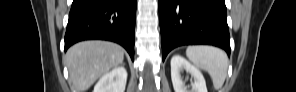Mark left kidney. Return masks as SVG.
<instances>
[{
  "label": "left kidney",
  "instance_id": "left-kidney-1",
  "mask_svg": "<svg viewBox=\"0 0 296 92\" xmlns=\"http://www.w3.org/2000/svg\"><path fill=\"white\" fill-rule=\"evenodd\" d=\"M184 70L194 79L191 90H188L181 78V72ZM171 79L175 92H207L202 73L180 55H173L171 58Z\"/></svg>",
  "mask_w": 296,
  "mask_h": 92
}]
</instances>
